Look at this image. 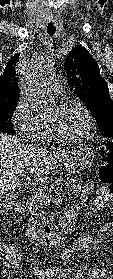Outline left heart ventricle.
Masks as SVG:
<instances>
[{
    "mask_svg": "<svg viewBox=\"0 0 113 279\" xmlns=\"http://www.w3.org/2000/svg\"><path fill=\"white\" fill-rule=\"evenodd\" d=\"M46 121L63 136H78L85 130L86 119L83 112L74 105L63 109L54 106L48 113Z\"/></svg>",
    "mask_w": 113,
    "mask_h": 279,
    "instance_id": "left-heart-ventricle-1",
    "label": "left heart ventricle"
}]
</instances>
